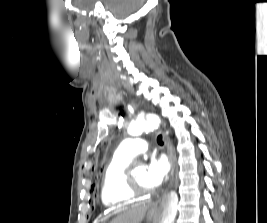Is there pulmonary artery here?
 Wrapping results in <instances>:
<instances>
[{
  "instance_id": "e3ab8cb5",
  "label": "pulmonary artery",
  "mask_w": 267,
  "mask_h": 223,
  "mask_svg": "<svg viewBox=\"0 0 267 223\" xmlns=\"http://www.w3.org/2000/svg\"><path fill=\"white\" fill-rule=\"evenodd\" d=\"M148 150V144L140 137L124 140L115 150V154L122 158L132 159Z\"/></svg>"
}]
</instances>
